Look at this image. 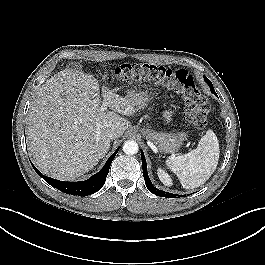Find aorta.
<instances>
[{
	"mask_svg": "<svg viewBox=\"0 0 265 265\" xmlns=\"http://www.w3.org/2000/svg\"><path fill=\"white\" fill-rule=\"evenodd\" d=\"M138 144L134 140H128L123 144V151L128 155H133L138 152Z\"/></svg>",
	"mask_w": 265,
	"mask_h": 265,
	"instance_id": "762f6f07",
	"label": "aorta"
}]
</instances>
